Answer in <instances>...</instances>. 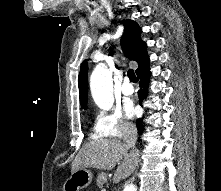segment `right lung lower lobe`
Returning <instances> with one entry per match:
<instances>
[{"label": "right lung lower lobe", "instance_id": "98d812e1", "mask_svg": "<svg viewBox=\"0 0 221 191\" xmlns=\"http://www.w3.org/2000/svg\"><path fill=\"white\" fill-rule=\"evenodd\" d=\"M150 69H149V64L141 69L139 72H137V76L140 79V86L142 87L138 91V97H139V102L142 104V100L147 97V92H148V83L150 79ZM136 126L138 129V133L141 135L143 130H144V125L142 123V119H138L136 121Z\"/></svg>", "mask_w": 221, "mask_h": 191}]
</instances>
